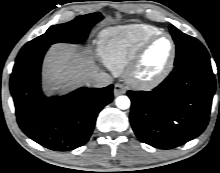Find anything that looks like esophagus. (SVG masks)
Wrapping results in <instances>:
<instances>
[{
	"label": "esophagus",
	"mask_w": 220,
	"mask_h": 173,
	"mask_svg": "<svg viewBox=\"0 0 220 173\" xmlns=\"http://www.w3.org/2000/svg\"><path fill=\"white\" fill-rule=\"evenodd\" d=\"M126 93V88L122 84L116 83L114 86V96H119Z\"/></svg>",
	"instance_id": "1"
}]
</instances>
